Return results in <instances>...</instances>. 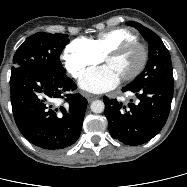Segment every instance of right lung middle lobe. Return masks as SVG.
Wrapping results in <instances>:
<instances>
[{
    "instance_id": "dd1d6c3e",
    "label": "right lung middle lobe",
    "mask_w": 187,
    "mask_h": 187,
    "mask_svg": "<svg viewBox=\"0 0 187 187\" xmlns=\"http://www.w3.org/2000/svg\"><path fill=\"white\" fill-rule=\"evenodd\" d=\"M69 42L66 34L38 32L28 37L13 57V67L29 66L55 73H65L60 54Z\"/></svg>"
}]
</instances>
